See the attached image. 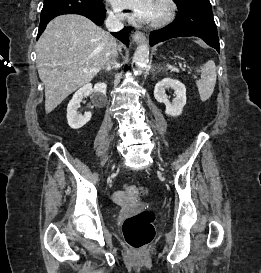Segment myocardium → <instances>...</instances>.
<instances>
[{
	"mask_svg": "<svg viewBox=\"0 0 261 273\" xmlns=\"http://www.w3.org/2000/svg\"><path fill=\"white\" fill-rule=\"evenodd\" d=\"M162 8V13L158 18L152 19L150 25L153 27H162L172 21L176 12V4L173 0H157Z\"/></svg>",
	"mask_w": 261,
	"mask_h": 273,
	"instance_id": "obj_1",
	"label": "myocardium"
}]
</instances>
